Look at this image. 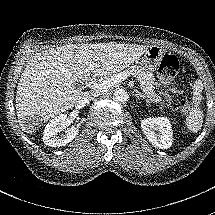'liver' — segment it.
<instances>
[{"label": "liver", "mask_w": 215, "mask_h": 215, "mask_svg": "<svg viewBox=\"0 0 215 215\" xmlns=\"http://www.w3.org/2000/svg\"><path fill=\"white\" fill-rule=\"evenodd\" d=\"M147 45L103 42L67 44L38 51L18 81L15 98L22 131L32 135L46 121L72 109L82 98L90 73L121 72L138 60ZM83 84V86H80Z\"/></svg>", "instance_id": "obj_1"}]
</instances>
